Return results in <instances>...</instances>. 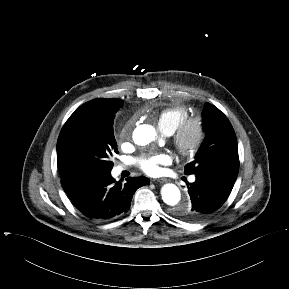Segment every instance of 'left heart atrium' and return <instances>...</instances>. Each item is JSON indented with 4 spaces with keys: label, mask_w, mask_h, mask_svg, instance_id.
I'll return each mask as SVG.
<instances>
[{
    "label": "left heart atrium",
    "mask_w": 289,
    "mask_h": 289,
    "mask_svg": "<svg viewBox=\"0 0 289 289\" xmlns=\"http://www.w3.org/2000/svg\"><path fill=\"white\" fill-rule=\"evenodd\" d=\"M172 159V155L167 152H155L143 154L135 162L146 174L157 175L161 172V167L170 164Z\"/></svg>",
    "instance_id": "left-heart-atrium-1"
}]
</instances>
